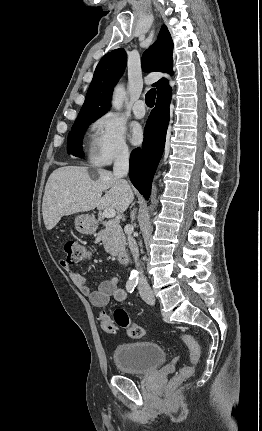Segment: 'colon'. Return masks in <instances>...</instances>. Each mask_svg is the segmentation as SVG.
I'll list each match as a JSON object with an SVG mask.
<instances>
[{
    "mask_svg": "<svg viewBox=\"0 0 262 431\" xmlns=\"http://www.w3.org/2000/svg\"><path fill=\"white\" fill-rule=\"evenodd\" d=\"M63 249L65 252L64 264L71 265L77 264L87 259L89 250L86 245L75 240H67ZM101 328L107 332L112 333L116 328H123L126 330L130 338L140 339L144 336V330L137 324L130 321L129 315L125 309L118 308L114 312L113 318L106 314L100 317ZM179 337L187 344L190 350L189 364L184 365L177 377L174 379L175 383L181 382L190 378L195 371L196 365L201 358V350L196 339L189 333H181Z\"/></svg>",
    "mask_w": 262,
    "mask_h": 431,
    "instance_id": "1",
    "label": "colon"
}]
</instances>
